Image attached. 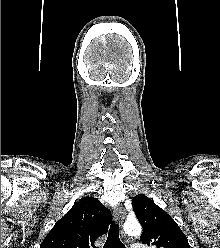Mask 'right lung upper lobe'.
Masks as SVG:
<instances>
[{
  "mask_svg": "<svg viewBox=\"0 0 220 248\" xmlns=\"http://www.w3.org/2000/svg\"><path fill=\"white\" fill-rule=\"evenodd\" d=\"M111 212L94 197L74 203L46 236L40 248H96L94 242L108 230Z\"/></svg>",
  "mask_w": 220,
  "mask_h": 248,
  "instance_id": "obj_1",
  "label": "right lung upper lobe"
}]
</instances>
